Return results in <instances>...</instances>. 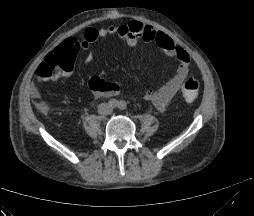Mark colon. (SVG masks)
<instances>
[{"mask_svg":"<svg viewBox=\"0 0 254 216\" xmlns=\"http://www.w3.org/2000/svg\"><path fill=\"white\" fill-rule=\"evenodd\" d=\"M80 46L77 45L75 51L63 50L53 51L49 53L44 61L39 65L37 69V75L39 78L48 80L55 75L72 68V55L78 52ZM200 83L195 78L188 79L182 88V97L187 102H193L197 99L199 93Z\"/></svg>","mask_w":254,"mask_h":216,"instance_id":"1","label":"colon"}]
</instances>
